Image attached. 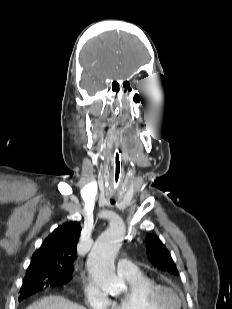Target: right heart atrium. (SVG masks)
Listing matches in <instances>:
<instances>
[{
    "instance_id": "right-heart-atrium-1",
    "label": "right heart atrium",
    "mask_w": 232,
    "mask_h": 309,
    "mask_svg": "<svg viewBox=\"0 0 232 309\" xmlns=\"http://www.w3.org/2000/svg\"><path fill=\"white\" fill-rule=\"evenodd\" d=\"M83 292L86 304L91 308L110 309L111 300L95 282L91 280H84Z\"/></svg>"
}]
</instances>
